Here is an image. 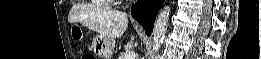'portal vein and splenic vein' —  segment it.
<instances>
[{
	"label": "portal vein and splenic vein",
	"instance_id": "1",
	"mask_svg": "<svg viewBox=\"0 0 261 59\" xmlns=\"http://www.w3.org/2000/svg\"><path fill=\"white\" fill-rule=\"evenodd\" d=\"M136 58V54L134 51L129 52L126 56L125 59H135Z\"/></svg>",
	"mask_w": 261,
	"mask_h": 59
}]
</instances>
